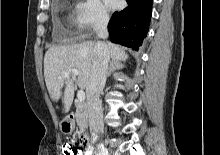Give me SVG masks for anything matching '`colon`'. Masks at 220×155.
<instances>
[{
	"instance_id": "colon-1",
	"label": "colon",
	"mask_w": 220,
	"mask_h": 155,
	"mask_svg": "<svg viewBox=\"0 0 220 155\" xmlns=\"http://www.w3.org/2000/svg\"><path fill=\"white\" fill-rule=\"evenodd\" d=\"M86 145H77V143H64L62 146L63 155H82L83 149H85Z\"/></svg>"
}]
</instances>
